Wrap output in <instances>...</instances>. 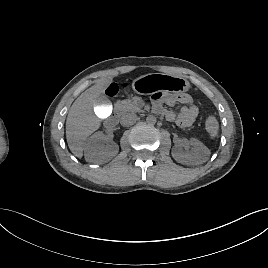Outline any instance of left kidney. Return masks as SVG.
I'll list each match as a JSON object with an SVG mask.
<instances>
[{"label":"left kidney","instance_id":"obj_1","mask_svg":"<svg viewBox=\"0 0 268 268\" xmlns=\"http://www.w3.org/2000/svg\"><path fill=\"white\" fill-rule=\"evenodd\" d=\"M191 147V150L188 148ZM208 148L199 140H179L172 148L173 158L183 164H199L205 162L209 157Z\"/></svg>","mask_w":268,"mask_h":268}]
</instances>
